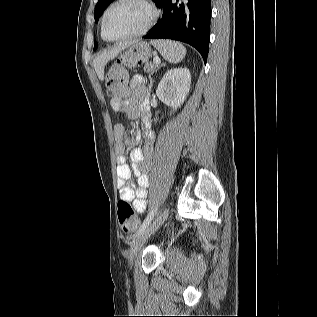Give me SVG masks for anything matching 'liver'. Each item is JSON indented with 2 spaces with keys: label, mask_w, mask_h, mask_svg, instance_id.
Listing matches in <instances>:
<instances>
[{
  "label": "liver",
  "mask_w": 317,
  "mask_h": 317,
  "mask_svg": "<svg viewBox=\"0 0 317 317\" xmlns=\"http://www.w3.org/2000/svg\"><path fill=\"white\" fill-rule=\"evenodd\" d=\"M132 43H122L111 49L105 50L99 55H97L93 61L94 69L98 78L103 81L104 80V68L109 60L114 59L122 50L130 46Z\"/></svg>",
  "instance_id": "liver-1"
}]
</instances>
